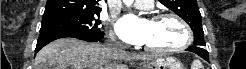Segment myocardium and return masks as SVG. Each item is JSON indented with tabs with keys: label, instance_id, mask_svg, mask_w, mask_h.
<instances>
[{
	"label": "myocardium",
	"instance_id": "obj_1",
	"mask_svg": "<svg viewBox=\"0 0 246 69\" xmlns=\"http://www.w3.org/2000/svg\"><path fill=\"white\" fill-rule=\"evenodd\" d=\"M163 19L175 20L182 27L184 31V34H185L184 40L182 41V43L178 44L177 46L170 47V48H155V47H151L147 45H145V47L149 50L162 53V54L177 52V51H181V50L188 48L192 43L193 36H192L191 29L189 25L185 22V20L174 13H159V14L154 15L151 18V21H158V20H163Z\"/></svg>",
	"mask_w": 246,
	"mask_h": 69
}]
</instances>
